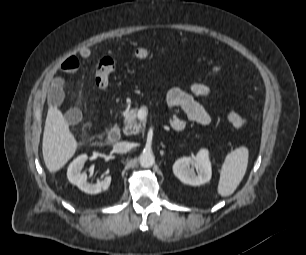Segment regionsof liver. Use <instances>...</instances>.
<instances>
[{
  "instance_id": "liver-1",
  "label": "liver",
  "mask_w": 306,
  "mask_h": 255,
  "mask_svg": "<svg viewBox=\"0 0 306 255\" xmlns=\"http://www.w3.org/2000/svg\"><path fill=\"white\" fill-rule=\"evenodd\" d=\"M78 144L61 111L48 109L42 142L45 165L49 172L60 170L75 154Z\"/></svg>"
}]
</instances>
